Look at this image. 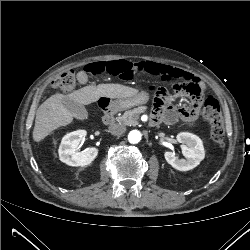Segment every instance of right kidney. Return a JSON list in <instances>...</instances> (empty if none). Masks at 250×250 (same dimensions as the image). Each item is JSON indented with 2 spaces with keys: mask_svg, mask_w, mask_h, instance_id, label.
<instances>
[{
  "mask_svg": "<svg viewBox=\"0 0 250 250\" xmlns=\"http://www.w3.org/2000/svg\"><path fill=\"white\" fill-rule=\"evenodd\" d=\"M85 136V130H77L66 134L62 138L58 150L62 162L69 166H86L96 158L98 149L95 147H88L82 152H77L78 146Z\"/></svg>",
  "mask_w": 250,
  "mask_h": 250,
  "instance_id": "right-kidney-1",
  "label": "right kidney"
}]
</instances>
